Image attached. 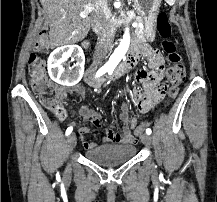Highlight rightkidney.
<instances>
[{
    "mask_svg": "<svg viewBox=\"0 0 217 202\" xmlns=\"http://www.w3.org/2000/svg\"><path fill=\"white\" fill-rule=\"evenodd\" d=\"M69 58L74 62L72 68H68L69 64H66ZM84 64L85 56L80 46H61L48 58L49 76L61 86H76L83 78Z\"/></svg>",
    "mask_w": 217,
    "mask_h": 202,
    "instance_id": "ca27d5eb",
    "label": "right kidney"
}]
</instances>
